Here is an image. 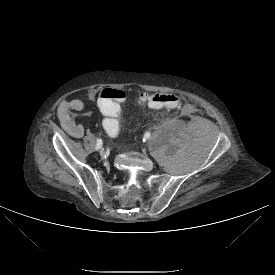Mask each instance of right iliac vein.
Masks as SVG:
<instances>
[{"instance_id": "right-iliac-vein-1", "label": "right iliac vein", "mask_w": 275, "mask_h": 275, "mask_svg": "<svg viewBox=\"0 0 275 275\" xmlns=\"http://www.w3.org/2000/svg\"><path fill=\"white\" fill-rule=\"evenodd\" d=\"M99 154H100V156L103 157L105 155V150L104 149H100L99 150Z\"/></svg>"}]
</instances>
